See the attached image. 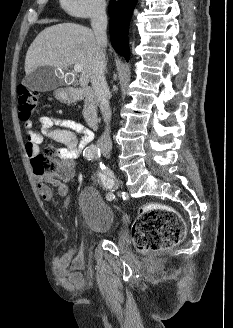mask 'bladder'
Segmentation results:
<instances>
[{"label":"bladder","instance_id":"1","mask_svg":"<svg viewBox=\"0 0 233 328\" xmlns=\"http://www.w3.org/2000/svg\"><path fill=\"white\" fill-rule=\"evenodd\" d=\"M77 203L87 230L94 234H107L113 230L116 214L93 187L79 192Z\"/></svg>","mask_w":233,"mask_h":328}]
</instances>
